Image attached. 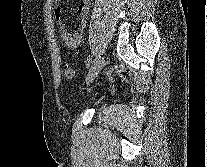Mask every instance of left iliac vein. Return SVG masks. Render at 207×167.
Here are the masks:
<instances>
[{
	"label": "left iliac vein",
	"instance_id": "left-iliac-vein-1",
	"mask_svg": "<svg viewBox=\"0 0 207 167\" xmlns=\"http://www.w3.org/2000/svg\"><path fill=\"white\" fill-rule=\"evenodd\" d=\"M104 64H105V59L103 56H98L95 58V60L93 61L92 65L90 67L87 78H86L87 84H90L93 82L95 77L98 75V73L103 68Z\"/></svg>",
	"mask_w": 207,
	"mask_h": 167
}]
</instances>
